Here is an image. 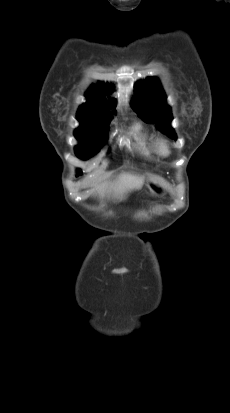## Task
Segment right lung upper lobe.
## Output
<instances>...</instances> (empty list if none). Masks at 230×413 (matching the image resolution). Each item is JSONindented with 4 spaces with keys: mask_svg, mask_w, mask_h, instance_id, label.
<instances>
[{
    "mask_svg": "<svg viewBox=\"0 0 230 413\" xmlns=\"http://www.w3.org/2000/svg\"><path fill=\"white\" fill-rule=\"evenodd\" d=\"M111 89L109 84L99 83L97 87L91 86L86 95L87 102L80 106L77 113V119L81 124L78 129L109 122L108 109L115 106V101H107L105 95L109 94Z\"/></svg>",
    "mask_w": 230,
    "mask_h": 413,
    "instance_id": "1",
    "label": "right lung upper lobe"
}]
</instances>
